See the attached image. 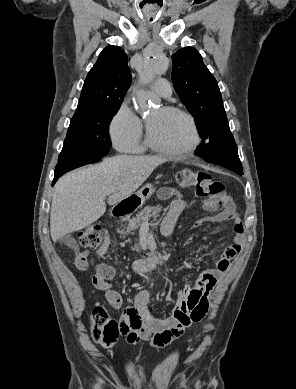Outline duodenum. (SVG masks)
Instances as JSON below:
<instances>
[{"mask_svg": "<svg viewBox=\"0 0 296 389\" xmlns=\"http://www.w3.org/2000/svg\"><path fill=\"white\" fill-rule=\"evenodd\" d=\"M138 205V201L134 199H126L114 207L113 215L115 217H123L132 213ZM161 260L162 255L160 253H155L150 257L135 261L133 263V270L138 274L144 275L148 273Z\"/></svg>", "mask_w": 296, "mask_h": 389, "instance_id": "1", "label": "duodenum"}]
</instances>
